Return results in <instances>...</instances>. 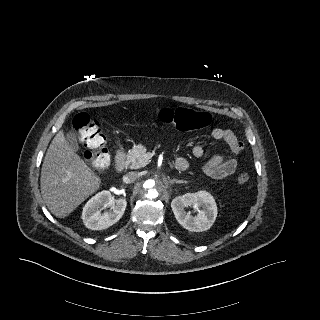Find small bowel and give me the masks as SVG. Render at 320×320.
I'll use <instances>...</instances> for the list:
<instances>
[{"instance_id": "small-bowel-1", "label": "small bowel", "mask_w": 320, "mask_h": 320, "mask_svg": "<svg viewBox=\"0 0 320 320\" xmlns=\"http://www.w3.org/2000/svg\"><path fill=\"white\" fill-rule=\"evenodd\" d=\"M211 137L214 140L224 141L229 147V154H218L210 158L204 165L205 173L214 179H223L233 175L238 168L237 156L244 149L243 143L229 129L214 128L211 131ZM192 153L195 157L201 158L204 155V150L202 146L195 145ZM177 161L187 162L183 157L177 158Z\"/></svg>"}]
</instances>
